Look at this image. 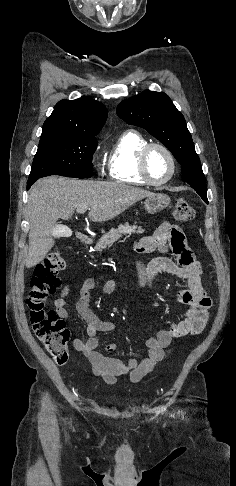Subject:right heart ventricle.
Wrapping results in <instances>:
<instances>
[{
    "instance_id": "right-heart-ventricle-1",
    "label": "right heart ventricle",
    "mask_w": 236,
    "mask_h": 486,
    "mask_svg": "<svg viewBox=\"0 0 236 486\" xmlns=\"http://www.w3.org/2000/svg\"><path fill=\"white\" fill-rule=\"evenodd\" d=\"M148 140L139 132L122 133L112 146L108 156L110 177L129 185H146L138 171V157Z\"/></svg>"
}]
</instances>
